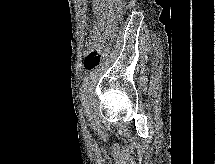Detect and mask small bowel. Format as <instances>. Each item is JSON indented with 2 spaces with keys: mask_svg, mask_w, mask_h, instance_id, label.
<instances>
[{
  "mask_svg": "<svg viewBox=\"0 0 216 164\" xmlns=\"http://www.w3.org/2000/svg\"><path fill=\"white\" fill-rule=\"evenodd\" d=\"M121 5L122 0H93L95 22L92 35L87 44L88 50L101 45L103 36L107 34L111 28Z\"/></svg>",
  "mask_w": 216,
  "mask_h": 164,
  "instance_id": "1",
  "label": "small bowel"
}]
</instances>
